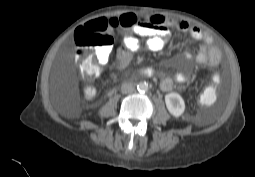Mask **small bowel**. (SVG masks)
I'll return each mask as SVG.
<instances>
[{
	"mask_svg": "<svg viewBox=\"0 0 255 177\" xmlns=\"http://www.w3.org/2000/svg\"><path fill=\"white\" fill-rule=\"evenodd\" d=\"M169 27L178 31L189 33L195 40L201 41L202 45L193 56L189 51H184L183 56L187 59H194L198 64L210 63L216 65L221 59V51L213 46L212 37L196 25H191L182 19H171L161 14L148 15L145 21L132 28L133 33L123 38V43L116 51L117 65L120 69L126 68L131 62L133 55L141 48L150 51H161L166 47L170 37ZM85 30V25L81 27ZM140 37L146 38L144 44ZM111 54V47H105L96 52L98 62L103 66L108 63ZM140 73L143 76H161L160 87L163 91H170L174 88V80L165 72L155 68H143ZM174 79L179 84L189 80L184 73H176Z\"/></svg>",
	"mask_w": 255,
	"mask_h": 177,
	"instance_id": "small-bowel-1",
	"label": "small bowel"
}]
</instances>
